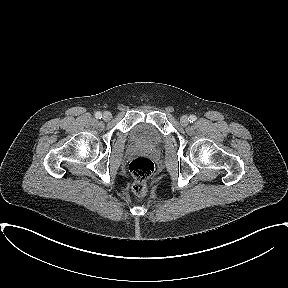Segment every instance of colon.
I'll return each mask as SVG.
<instances>
[{
  "label": "colon",
  "mask_w": 288,
  "mask_h": 288,
  "mask_svg": "<svg viewBox=\"0 0 288 288\" xmlns=\"http://www.w3.org/2000/svg\"><path fill=\"white\" fill-rule=\"evenodd\" d=\"M130 171L133 176V192L137 196L147 193V181L154 171V163L145 157H138L131 161Z\"/></svg>",
  "instance_id": "colon-1"
}]
</instances>
